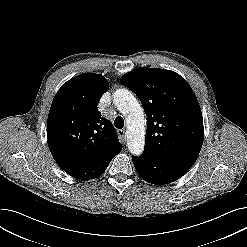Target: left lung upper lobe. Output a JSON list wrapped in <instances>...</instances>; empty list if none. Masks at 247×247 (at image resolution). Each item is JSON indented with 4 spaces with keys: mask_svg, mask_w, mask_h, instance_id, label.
I'll return each instance as SVG.
<instances>
[{
    "mask_svg": "<svg viewBox=\"0 0 247 247\" xmlns=\"http://www.w3.org/2000/svg\"><path fill=\"white\" fill-rule=\"evenodd\" d=\"M140 99L147 116L145 151L165 159L194 163L204 139L198 100L179 74L137 68L120 80Z\"/></svg>",
    "mask_w": 247,
    "mask_h": 247,
    "instance_id": "1",
    "label": "left lung upper lobe"
}]
</instances>
